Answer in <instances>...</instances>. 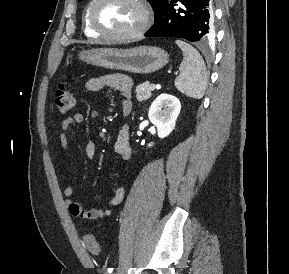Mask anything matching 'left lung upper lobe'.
I'll list each match as a JSON object with an SVG mask.
<instances>
[{
	"mask_svg": "<svg viewBox=\"0 0 289 274\" xmlns=\"http://www.w3.org/2000/svg\"><path fill=\"white\" fill-rule=\"evenodd\" d=\"M79 1H82V0H79ZM147 1L151 4L155 13V20H157L161 9L167 3L168 0H147Z\"/></svg>",
	"mask_w": 289,
	"mask_h": 274,
	"instance_id": "obj_1",
	"label": "left lung upper lobe"
}]
</instances>
